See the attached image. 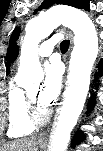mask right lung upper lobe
<instances>
[{"label":"right lung upper lobe","instance_id":"cb5924a9","mask_svg":"<svg viewBox=\"0 0 103 151\" xmlns=\"http://www.w3.org/2000/svg\"><path fill=\"white\" fill-rule=\"evenodd\" d=\"M20 34V28L16 27L11 35V39L9 42V48L6 55V73L8 74L10 71V63L17 58L19 48L16 45V40L18 39Z\"/></svg>","mask_w":103,"mask_h":151}]
</instances>
